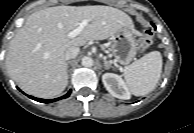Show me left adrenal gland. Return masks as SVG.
<instances>
[{
    "mask_svg": "<svg viewBox=\"0 0 194 133\" xmlns=\"http://www.w3.org/2000/svg\"><path fill=\"white\" fill-rule=\"evenodd\" d=\"M112 66H111V64L106 60V59H104V68L106 69V70H108L109 68H111Z\"/></svg>",
    "mask_w": 194,
    "mask_h": 133,
    "instance_id": "obj_1",
    "label": "left adrenal gland"
}]
</instances>
